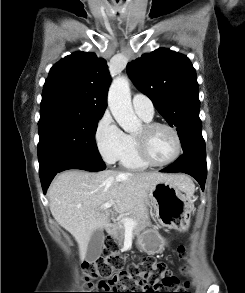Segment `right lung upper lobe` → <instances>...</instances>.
Returning a JSON list of instances; mask_svg holds the SVG:
<instances>
[{"label":"right lung upper lobe","instance_id":"right-lung-upper-lobe-1","mask_svg":"<svg viewBox=\"0 0 245 293\" xmlns=\"http://www.w3.org/2000/svg\"><path fill=\"white\" fill-rule=\"evenodd\" d=\"M110 80L107 62L94 53L79 51L68 55L49 72L40 113L64 111L102 116Z\"/></svg>","mask_w":245,"mask_h":293}]
</instances>
